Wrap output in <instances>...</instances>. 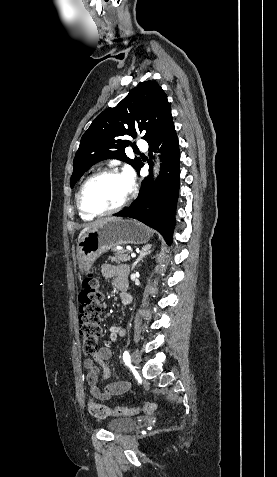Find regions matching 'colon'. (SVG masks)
<instances>
[{
  "instance_id": "1",
  "label": "colon",
  "mask_w": 277,
  "mask_h": 477,
  "mask_svg": "<svg viewBox=\"0 0 277 477\" xmlns=\"http://www.w3.org/2000/svg\"><path fill=\"white\" fill-rule=\"evenodd\" d=\"M102 293L100 283L93 274H89L82 283L79 293V331L83 341V349L87 355H92L98 346L101 335L100 313L102 311ZM156 408L154 402H145L137 408L114 407L96 402H89V412L96 418L108 416H130L139 412L150 414Z\"/></svg>"
}]
</instances>
